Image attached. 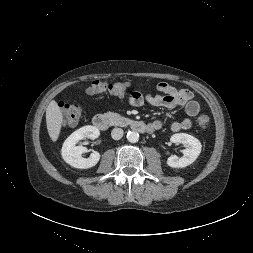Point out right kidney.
<instances>
[{
	"mask_svg": "<svg viewBox=\"0 0 253 253\" xmlns=\"http://www.w3.org/2000/svg\"><path fill=\"white\" fill-rule=\"evenodd\" d=\"M99 129L95 126H84L73 132L63 143L61 155L66 163L78 169H88L95 166L100 160V154L96 151L91 153L89 158L82 157L87 152V148L76 146V144L84 139H96L99 136Z\"/></svg>",
	"mask_w": 253,
	"mask_h": 253,
	"instance_id": "ca27d5eb",
	"label": "right kidney"
}]
</instances>
